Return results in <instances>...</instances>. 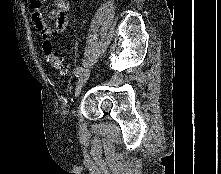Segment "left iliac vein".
I'll list each match as a JSON object with an SVG mask.
<instances>
[{
  "label": "left iliac vein",
  "instance_id": "left-iliac-vein-1",
  "mask_svg": "<svg viewBox=\"0 0 221 174\" xmlns=\"http://www.w3.org/2000/svg\"><path fill=\"white\" fill-rule=\"evenodd\" d=\"M89 75H90V70H89V69L84 70V71L80 74V76H79V78H78V81H77V83H76L75 96H79L82 87L84 86V84L86 83V81H87L88 78H89Z\"/></svg>",
  "mask_w": 221,
  "mask_h": 174
}]
</instances>
